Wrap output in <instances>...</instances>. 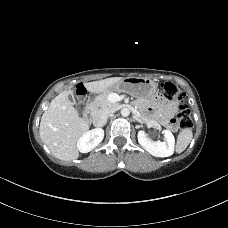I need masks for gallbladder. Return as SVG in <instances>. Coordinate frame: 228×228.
Listing matches in <instances>:
<instances>
[{
    "instance_id": "1",
    "label": "gallbladder",
    "mask_w": 228,
    "mask_h": 228,
    "mask_svg": "<svg viewBox=\"0 0 228 228\" xmlns=\"http://www.w3.org/2000/svg\"><path fill=\"white\" fill-rule=\"evenodd\" d=\"M70 98H71L72 101H74L73 94H70Z\"/></svg>"
}]
</instances>
